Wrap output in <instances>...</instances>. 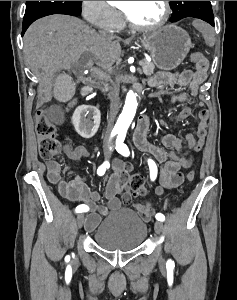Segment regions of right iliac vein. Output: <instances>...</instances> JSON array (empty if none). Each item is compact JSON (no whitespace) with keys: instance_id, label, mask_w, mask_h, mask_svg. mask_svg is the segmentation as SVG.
I'll return each mask as SVG.
<instances>
[{"instance_id":"1","label":"right iliac vein","mask_w":237,"mask_h":300,"mask_svg":"<svg viewBox=\"0 0 237 300\" xmlns=\"http://www.w3.org/2000/svg\"><path fill=\"white\" fill-rule=\"evenodd\" d=\"M83 221H84V214H79L77 216V226L79 229L82 227Z\"/></svg>"}]
</instances>
